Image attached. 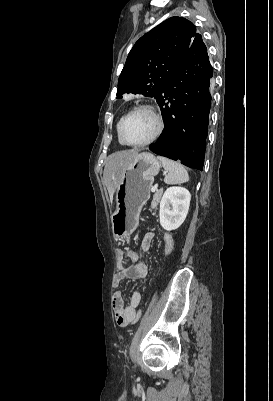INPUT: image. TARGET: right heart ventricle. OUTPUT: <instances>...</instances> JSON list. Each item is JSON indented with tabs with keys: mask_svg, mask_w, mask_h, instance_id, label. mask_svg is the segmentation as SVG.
I'll use <instances>...</instances> for the list:
<instances>
[{
	"mask_svg": "<svg viewBox=\"0 0 273 401\" xmlns=\"http://www.w3.org/2000/svg\"><path fill=\"white\" fill-rule=\"evenodd\" d=\"M124 115H125V113H122V115H120V117L117 119V122H116V134H117L118 124H119L121 118H122ZM117 138H118L119 143H120L121 145H124V144L120 141V139H119V137H118V134H117Z\"/></svg>",
	"mask_w": 273,
	"mask_h": 401,
	"instance_id": "1",
	"label": "right heart ventricle"
}]
</instances>
